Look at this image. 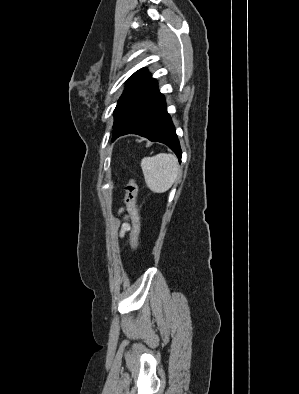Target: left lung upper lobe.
<instances>
[{
    "label": "left lung upper lobe",
    "mask_w": 299,
    "mask_h": 394,
    "mask_svg": "<svg viewBox=\"0 0 299 394\" xmlns=\"http://www.w3.org/2000/svg\"><path fill=\"white\" fill-rule=\"evenodd\" d=\"M154 82L155 79L151 77L146 68L138 70L126 81L127 86L114 110L113 127L121 120L135 100Z\"/></svg>",
    "instance_id": "obj_1"
}]
</instances>
